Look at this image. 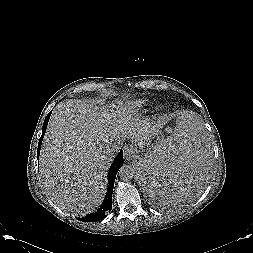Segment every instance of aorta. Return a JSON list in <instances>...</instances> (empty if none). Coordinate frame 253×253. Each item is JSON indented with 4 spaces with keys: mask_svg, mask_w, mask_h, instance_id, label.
Listing matches in <instances>:
<instances>
[{
    "mask_svg": "<svg viewBox=\"0 0 253 253\" xmlns=\"http://www.w3.org/2000/svg\"><path fill=\"white\" fill-rule=\"evenodd\" d=\"M135 174V170L132 166L130 165H123L119 171H118V175L119 177L124 180V181H128L131 180L133 178Z\"/></svg>",
    "mask_w": 253,
    "mask_h": 253,
    "instance_id": "762f6f07",
    "label": "aorta"
}]
</instances>
